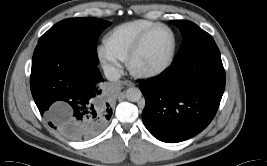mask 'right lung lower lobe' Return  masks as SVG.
I'll list each match as a JSON object with an SVG mask.
<instances>
[{"label": "right lung lower lobe", "mask_w": 267, "mask_h": 166, "mask_svg": "<svg viewBox=\"0 0 267 166\" xmlns=\"http://www.w3.org/2000/svg\"><path fill=\"white\" fill-rule=\"evenodd\" d=\"M97 64L57 42L38 43L30 86L35 103L51 127L84 140L101 132L112 115L105 105Z\"/></svg>", "instance_id": "1"}]
</instances>
